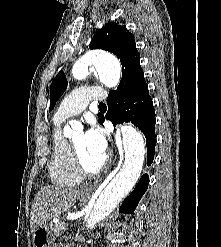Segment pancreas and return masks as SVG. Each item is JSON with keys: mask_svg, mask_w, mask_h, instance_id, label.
Returning a JSON list of instances; mask_svg holds the SVG:
<instances>
[{"mask_svg": "<svg viewBox=\"0 0 221 247\" xmlns=\"http://www.w3.org/2000/svg\"><path fill=\"white\" fill-rule=\"evenodd\" d=\"M53 232L55 236L60 237L63 236L64 233L68 230L67 225L65 222H60L58 224H52Z\"/></svg>", "mask_w": 221, "mask_h": 247, "instance_id": "1", "label": "pancreas"}]
</instances>
